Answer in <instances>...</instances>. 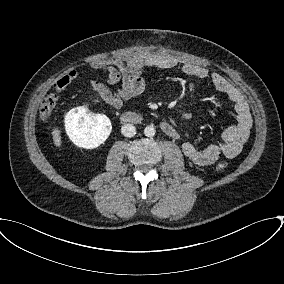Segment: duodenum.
<instances>
[{"label": "duodenum", "instance_id": "duodenum-1", "mask_svg": "<svg viewBox=\"0 0 284 284\" xmlns=\"http://www.w3.org/2000/svg\"><path fill=\"white\" fill-rule=\"evenodd\" d=\"M121 121L124 124H141L144 121V117L139 113L127 111L121 115ZM160 128L169 137H174L177 134L174 126L167 121L161 122Z\"/></svg>", "mask_w": 284, "mask_h": 284}]
</instances>
